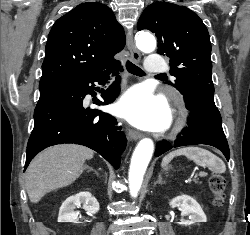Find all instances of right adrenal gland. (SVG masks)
<instances>
[{
  "mask_svg": "<svg viewBox=\"0 0 250 235\" xmlns=\"http://www.w3.org/2000/svg\"><path fill=\"white\" fill-rule=\"evenodd\" d=\"M88 172L93 171L97 176H99V173L94 170L92 167L87 166Z\"/></svg>",
  "mask_w": 250,
  "mask_h": 235,
  "instance_id": "1",
  "label": "right adrenal gland"
}]
</instances>
